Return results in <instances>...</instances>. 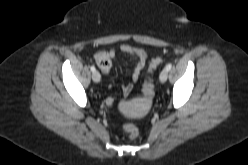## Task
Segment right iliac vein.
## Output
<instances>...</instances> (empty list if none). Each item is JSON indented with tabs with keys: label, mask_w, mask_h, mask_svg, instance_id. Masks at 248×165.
I'll return each mask as SVG.
<instances>
[{
	"label": "right iliac vein",
	"mask_w": 248,
	"mask_h": 165,
	"mask_svg": "<svg viewBox=\"0 0 248 165\" xmlns=\"http://www.w3.org/2000/svg\"><path fill=\"white\" fill-rule=\"evenodd\" d=\"M92 79L95 83L100 82L101 79L100 73L98 71L93 72Z\"/></svg>",
	"instance_id": "obj_1"
}]
</instances>
